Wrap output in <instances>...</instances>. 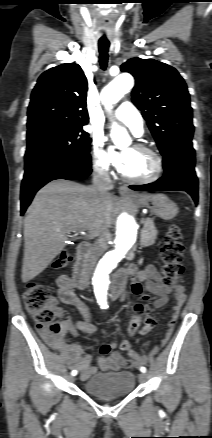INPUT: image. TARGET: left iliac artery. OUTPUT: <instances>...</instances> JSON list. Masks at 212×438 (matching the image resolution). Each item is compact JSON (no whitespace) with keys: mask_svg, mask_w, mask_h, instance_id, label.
Segmentation results:
<instances>
[{"mask_svg":"<svg viewBox=\"0 0 212 438\" xmlns=\"http://www.w3.org/2000/svg\"><path fill=\"white\" fill-rule=\"evenodd\" d=\"M140 371L143 372V373H145V372H146V368H145V367H141V368H140Z\"/></svg>","mask_w":212,"mask_h":438,"instance_id":"1","label":"left iliac artery"}]
</instances>
